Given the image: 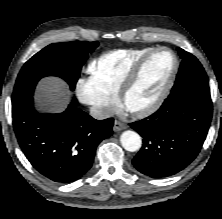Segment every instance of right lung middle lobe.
Instances as JSON below:
<instances>
[{
    "mask_svg": "<svg viewBox=\"0 0 222 219\" xmlns=\"http://www.w3.org/2000/svg\"><path fill=\"white\" fill-rule=\"evenodd\" d=\"M97 46L98 42L74 41L54 43L39 51L22 67L14 87L12 104L32 97L37 82L45 76L61 77L73 90L88 53Z\"/></svg>",
    "mask_w": 222,
    "mask_h": 219,
    "instance_id": "dd1d6c3e",
    "label": "right lung middle lobe"
}]
</instances>
